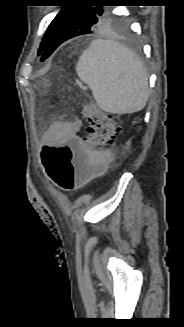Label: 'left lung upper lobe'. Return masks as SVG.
Masks as SVG:
<instances>
[{
  "mask_svg": "<svg viewBox=\"0 0 184 327\" xmlns=\"http://www.w3.org/2000/svg\"><path fill=\"white\" fill-rule=\"evenodd\" d=\"M64 18V26L75 30L80 35L93 33L95 30L107 25L108 23H120V16L114 18L103 9L102 6H88V5H70L64 6L58 15L50 23L45 36L42 39L38 55H40L46 47L53 30L58 20Z\"/></svg>",
  "mask_w": 184,
  "mask_h": 327,
  "instance_id": "left-lung-upper-lobe-1",
  "label": "left lung upper lobe"
}]
</instances>
